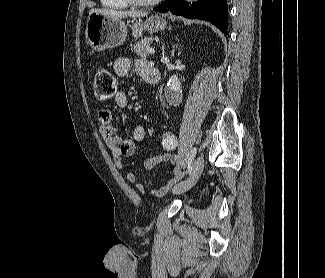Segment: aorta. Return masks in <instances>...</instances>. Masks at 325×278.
I'll list each match as a JSON object with an SVG mask.
<instances>
[{"instance_id":"762f6f07","label":"aorta","mask_w":325,"mask_h":278,"mask_svg":"<svg viewBox=\"0 0 325 278\" xmlns=\"http://www.w3.org/2000/svg\"><path fill=\"white\" fill-rule=\"evenodd\" d=\"M167 86L172 93H178L181 89V84H180V80L178 79V76L172 75L169 78Z\"/></svg>"}]
</instances>
